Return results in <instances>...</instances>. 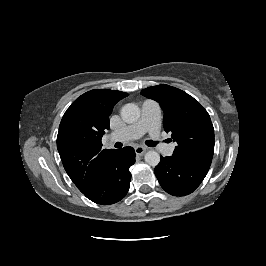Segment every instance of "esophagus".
<instances>
[{
  "label": "esophagus",
  "mask_w": 266,
  "mask_h": 266,
  "mask_svg": "<svg viewBox=\"0 0 266 266\" xmlns=\"http://www.w3.org/2000/svg\"><path fill=\"white\" fill-rule=\"evenodd\" d=\"M146 150H147V148L144 147V146H137V147H135V153H136L137 155H142V154H144V153L146 152Z\"/></svg>",
  "instance_id": "1"
}]
</instances>
